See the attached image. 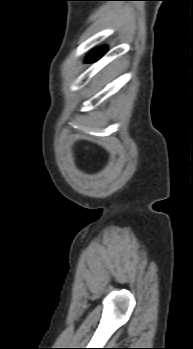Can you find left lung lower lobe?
Here are the masks:
<instances>
[{
    "instance_id": "obj_1",
    "label": "left lung lower lobe",
    "mask_w": 193,
    "mask_h": 349,
    "mask_svg": "<svg viewBox=\"0 0 193 349\" xmlns=\"http://www.w3.org/2000/svg\"><path fill=\"white\" fill-rule=\"evenodd\" d=\"M106 47H101L97 50H94L93 52H91L87 58H86V62H92L95 61L97 59H99L100 57H102L104 55V53L106 52Z\"/></svg>"
}]
</instances>
